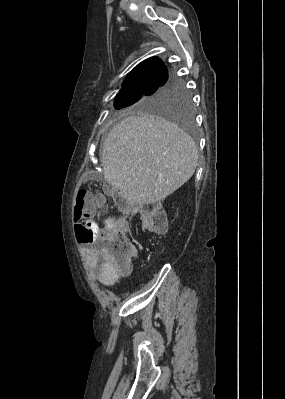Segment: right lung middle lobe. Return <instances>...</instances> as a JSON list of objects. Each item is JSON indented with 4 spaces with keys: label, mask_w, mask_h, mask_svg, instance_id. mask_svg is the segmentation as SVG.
<instances>
[{
    "label": "right lung middle lobe",
    "mask_w": 285,
    "mask_h": 399,
    "mask_svg": "<svg viewBox=\"0 0 285 399\" xmlns=\"http://www.w3.org/2000/svg\"><path fill=\"white\" fill-rule=\"evenodd\" d=\"M129 106H132V109L167 116L182 124L187 130L191 129V96L180 80L173 79L158 88L116 95V109Z\"/></svg>",
    "instance_id": "1"
}]
</instances>
